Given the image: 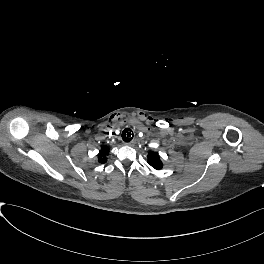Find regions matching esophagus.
Listing matches in <instances>:
<instances>
[{"instance_id":"1","label":"esophagus","mask_w":264,"mask_h":264,"mask_svg":"<svg viewBox=\"0 0 264 264\" xmlns=\"http://www.w3.org/2000/svg\"><path fill=\"white\" fill-rule=\"evenodd\" d=\"M126 145H133V142H128V143H125Z\"/></svg>"}]
</instances>
